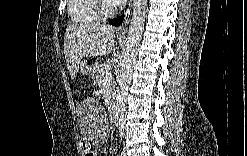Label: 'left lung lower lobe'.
<instances>
[{
    "label": "left lung lower lobe",
    "mask_w": 247,
    "mask_h": 156,
    "mask_svg": "<svg viewBox=\"0 0 247 156\" xmlns=\"http://www.w3.org/2000/svg\"><path fill=\"white\" fill-rule=\"evenodd\" d=\"M124 19V16L118 17L116 19L111 20L109 23L114 26H119Z\"/></svg>",
    "instance_id": "obj_1"
}]
</instances>
